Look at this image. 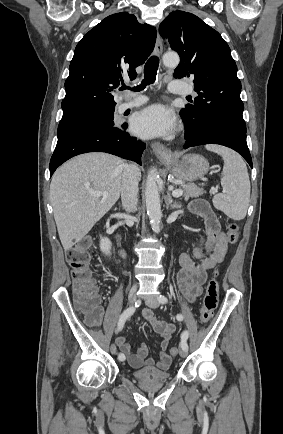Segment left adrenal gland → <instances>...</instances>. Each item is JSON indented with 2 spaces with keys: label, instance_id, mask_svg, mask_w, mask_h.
<instances>
[{
  "label": "left adrenal gland",
  "instance_id": "a2214340",
  "mask_svg": "<svg viewBox=\"0 0 283 434\" xmlns=\"http://www.w3.org/2000/svg\"><path fill=\"white\" fill-rule=\"evenodd\" d=\"M181 205L177 204L176 202H173L171 195L168 193L167 200H166V208L171 209H178Z\"/></svg>",
  "mask_w": 283,
  "mask_h": 434
}]
</instances>
